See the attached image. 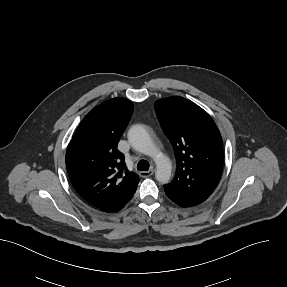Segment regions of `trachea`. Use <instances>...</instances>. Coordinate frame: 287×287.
<instances>
[{
  "label": "trachea",
  "instance_id": "obj_1",
  "mask_svg": "<svg viewBox=\"0 0 287 287\" xmlns=\"http://www.w3.org/2000/svg\"><path fill=\"white\" fill-rule=\"evenodd\" d=\"M137 169L140 171H148L149 163L146 160H140L137 164Z\"/></svg>",
  "mask_w": 287,
  "mask_h": 287
}]
</instances>
